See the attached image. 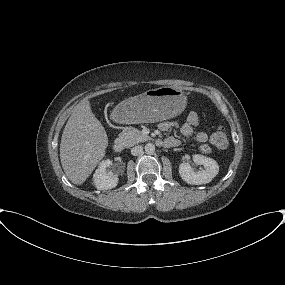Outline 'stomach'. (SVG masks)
<instances>
[{
    "mask_svg": "<svg viewBox=\"0 0 285 285\" xmlns=\"http://www.w3.org/2000/svg\"><path fill=\"white\" fill-rule=\"evenodd\" d=\"M186 105L182 90L164 86L123 100L113 110V116L125 124L154 123L179 115Z\"/></svg>",
    "mask_w": 285,
    "mask_h": 285,
    "instance_id": "stomach-1",
    "label": "stomach"
}]
</instances>
